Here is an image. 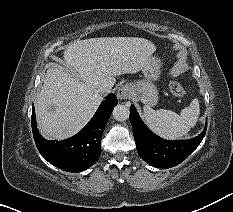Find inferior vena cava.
I'll use <instances>...</instances> for the list:
<instances>
[{
    "label": "inferior vena cava",
    "instance_id": "inferior-vena-cava-1",
    "mask_svg": "<svg viewBox=\"0 0 233 212\" xmlns=\"http://www.w3.org/2000/svg\"><path fill=\"white\" fill-rule=\"evenodd\" d=\"M111 91L110 85H101L97 88V92L101 94H107Z\"/></svg>",
    "mask_w": 233,
    "mask_h": 212
}]
</instances>
